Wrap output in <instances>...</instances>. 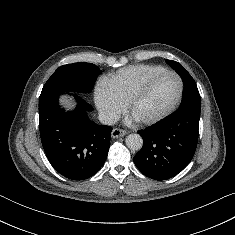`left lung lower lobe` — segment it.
<instances>
[{
  "instance_id": "obj_1",
  "label": "left lung lower lobe",
  "mask_w": 235,
  "mask_h": 235,
  "mask_svg": "<svg viewBox=\"0 0 235 235\" xmlns=\"http://www.w3.org/2000/svg\"><path fill=\"white\" fill-rule=\"evenodd\" d=\"M200 110H178L151 127L138 131L143 147L134 163L147 177L166 180L181 172L194 156Z\"/></svg>"
}]
</instances>
